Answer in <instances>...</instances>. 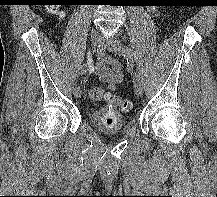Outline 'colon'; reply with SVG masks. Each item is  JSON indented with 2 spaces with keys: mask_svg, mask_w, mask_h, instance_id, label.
I'll return each mask as SVG.
<instances>
[{
  "mask_svg": "<svg viewBox=\"0 0 217 197\" xmlns=\"http://www.w3.org/2000/svg\"><path fill=\"white\" fill-rule=\"evenodd\" d=\"M49 2H52V1H49ZM48 7L52 13L61 15V12L59 11L58 6L49 5ZM104 96L108 102H110L111 104L117 105L119 110L122 112H129L132 109V102L128 99L121 98L111 93H105Z\"/></svg>",
  "mask_w": 217,
  "mask_h": 197,
  "instance_id": "obj_1",
  "label": "colon"
}]
</instances>
